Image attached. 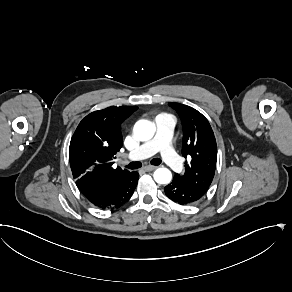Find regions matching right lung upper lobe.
Segmentation results:
<instances>
[{
    "label": "right lung upper lobe",
    "mask_w": 292,
    "mask_h": 292,
    "mask_svg": "<svg viewBox=\"0 0 292 292\" xmlns=\"http://www.w3.org/2000/svg\"><path fill=\"white\" fill-rule=\"evenodd\" d=\"M137 107H108L88 114L79 123L69 147L76 185L86 197L100 198L132 172L113 168L123 139L121 123Z\"/></svg>",
    "instance_id": "1"
}]
</instances>
